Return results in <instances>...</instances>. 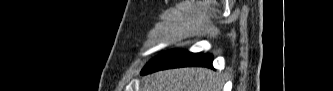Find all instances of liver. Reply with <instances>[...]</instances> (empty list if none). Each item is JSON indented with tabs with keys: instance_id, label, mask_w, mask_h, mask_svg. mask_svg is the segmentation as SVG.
Masks as SVG:
<instances>
[{
	"instance_id": "liver-1",
	"label": "liver",
	"mask_w": 333,
	"mask_h": 91,
	"mask_svg": "<svg viewBox=\"0 0 333 91\" xmlns=\"http://www.w3.org/2000/svg\"><path fill=\"white\" fill-rule=\"evenodd\" d=\"M143 91H221L218 74L206 68H180L148 75Z\"/></svg>"
}]
</instances>
